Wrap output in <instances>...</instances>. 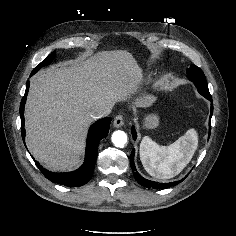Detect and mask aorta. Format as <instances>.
<instances>
[{"mask_svg":"<svg viewBox=\"0 0 236 236\" xmlns=\"http://www.w3.org/2000/svg\"><path fill=\"white\" fill-rule=\"evenodd\" d=\"M112 142L116 147L123 148L125 144L127 143V135L123 131H115L112 134Z\"/></svg>","mask_w":236,"mask_h":236,"instance_id":"obj_1","label":"aorta"}]
</instances>
